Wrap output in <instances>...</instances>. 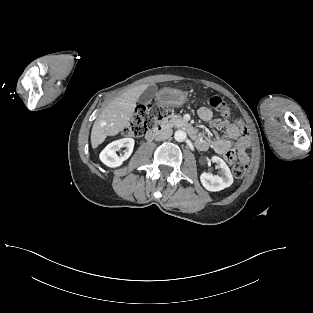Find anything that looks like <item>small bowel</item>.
Wrapping results in <instances>:
<instances>
[{"mask_svg":"<svg viewBox=\"0 0 313 313\" xmlns=\"http://www.w3.org/2000/svg\"><path fill=\"white\" fill-rule=\"evenodd\" d=\"M198 115L210 127L221 132L219 137L213 139L198 136L195 140L198 150L205 151L211 148L224 157L228 153H233L236 157L247 158L246 151L251 146L252 140L248 128L242 121H225L214 118L212 111L207 107H201ZM233 142H235V150L232 149Z\"/></svg>","mask_w":313,"mask_h":313,"instance_id":"c3829d8e","label":"small bowel"}]
</instances>
